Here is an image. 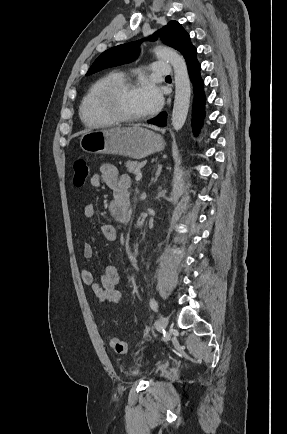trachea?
Returning a JSON list of instances; mask_svg holds the SVG:
<instances>
[{"mask_svg":"<svg viewBox=\"0 0 287 434\" xmlns=\"http://www.w3.org/2000/svg\"><path fill=\"white\" fill-rule=\"evenodd\" d=\"M166 78H171V76H166Z\"/></svg>","mask_w":287,"mask_h":434,"instance_id":"3493384b","label":"trachea"}]
</instances>
